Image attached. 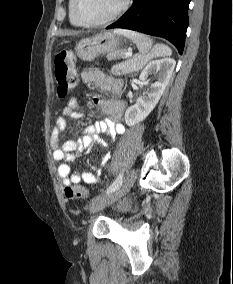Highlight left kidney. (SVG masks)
I'll list each match as a JSON object with an SVG mask.
<instances>
[{
  "label": "left kidney",
  "mask_w": 233,
  "mask_h": 284,
  "mask_svg": "<svg viewBox=\"0 0 233 284\" xmlns=\"http://www.w3.org/2000/svg\"><path fill=\"white\" fill-rule=\"evenodd\" d=\"M175 64L174 59L163 58L149 62L142 70L139 76L141 83L145 84L150 75H155L157 81L137 99L135 105H132L126 110L125 122L128 126H134L143 121L155 108L168 85Z\"/></svg>",
  "instance_id": "left-kidney-1"
}]
</instances>
